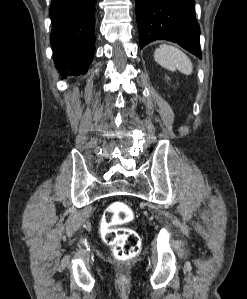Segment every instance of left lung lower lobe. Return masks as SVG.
Wrapping results in <instances>:
<instances>
[{
  "label": "left lung lower lobe",
  "mask_w": 247,
  "mask_h": 299,
  "mask_svg": "<svg viewBox=\"0 0 247 299\" xmlns=\"http://www.w3.org/2000/svg\"><path fill=\"white\" fill-rule=\"evenodd\" d=\"M140 47L163 39L202 58L194 0H136Z\"/></svg>",
  "instance_id": "obj_1"
}]
</instances>
